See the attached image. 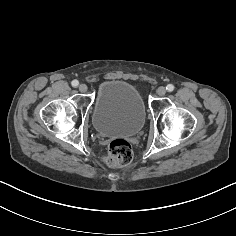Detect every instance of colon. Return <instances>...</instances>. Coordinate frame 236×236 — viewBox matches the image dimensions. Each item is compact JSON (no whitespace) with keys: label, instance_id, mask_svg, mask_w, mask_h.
Listing matches in <instances>:
<instances>
[{"label":"colon","instance_id":"colon-1","mask_svg":"<svg viewBox=\"0 0 236 236\" xmlns=\"http://www.w3.org/2000/svg\"><path fill=\"white\" fill-rule=\"evenodd\" d=\"M132 157L130 144L124 139H115L109 144L104 162L111 167H122L128 165Z\"/></svg>","mask_w":236,"mask_h":236}]
</instances>
